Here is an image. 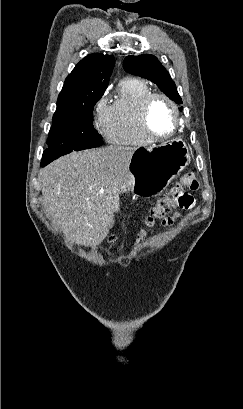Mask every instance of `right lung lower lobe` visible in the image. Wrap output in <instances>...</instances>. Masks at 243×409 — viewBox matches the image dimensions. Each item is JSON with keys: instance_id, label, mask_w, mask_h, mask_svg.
Returning a JSON list of instances; mask_svg holds the SVG:
<instances>
[{"instance_id": "1", "label": "right lung lower lobe", "mask_w": 243, "mask_h": 409, "mask_svg": "<svg viewBox=\"0 0 243 409\" xmlns=\"http://www.w3.org/2000/svg\"><path fill=\"white\" fill-rule=\"evenodd\" d=\"M72 151H44L42 160H41V166L44 167L53 160L59 158L60 156H63L65 154H68Z\"/></svg>"}]
</instances>
